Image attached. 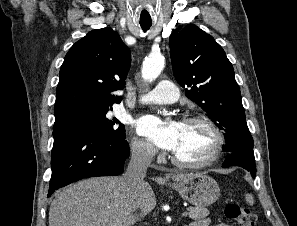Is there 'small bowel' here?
Here are the masks:
<instances>
[{
  "mask_svg": "<svg viewBox=\"0 0 297 226\" xmlns=\"http://www.w3.org/2000/svg\"><path fill=\"white\" fill-rule=\"evenodd\" d=\"M190 226H210V220L209 219H201V220H198V221L192 223ZM214 226H230V225L221 223V224H217Z\"/></svg>",
  "mask_w": 297,
  "mask_h": 226,
  "instance_id": "obj_1",
  "label": "small bowel"
}]
</instances>
